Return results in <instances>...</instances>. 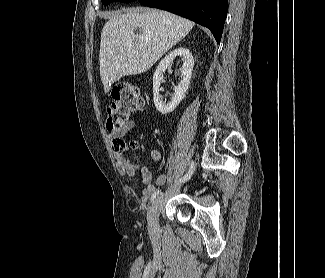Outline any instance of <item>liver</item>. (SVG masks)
I'll return each instance as SVG.
<instances>
[{
  "mask_svg": "<svg viewBox=\"0 0 325 278\" xmlns=\"http://www.w3.org/2000/svg\"><path fill=\"white\" fill-rule=\"evenodd\" d=\"M101 33L99 64L104 92L128 75L149 70L193 28L194 23L158 9L109 13ZM140 29L136 33V29Z\"/></svg>",
  "mask_w": 325,
  "mask_h": 278,
  "instance_id": "liver-1",
  "label": "liver"
}]
</instances>
